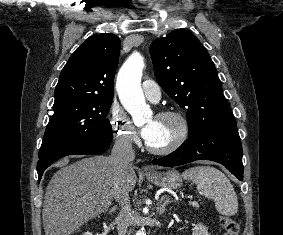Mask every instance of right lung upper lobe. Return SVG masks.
Segmentation results:
<instances>
[{"mask_svg": "<svg viewBox=\"0 0 283 235\" xmlns=\"http://www.w3.org/2000/svg\"><path fill=\"white\" fill-rule=\"evenodd\" d=\"M120 39L112 33L89 37L70 56L55 88V102L73 97L113 98Z\"/></svg>", "mask_w": 283, "mask_h": 235, "instance_id": "cb5924a9", "label": "right lung upper lobe"}]
</instances>
